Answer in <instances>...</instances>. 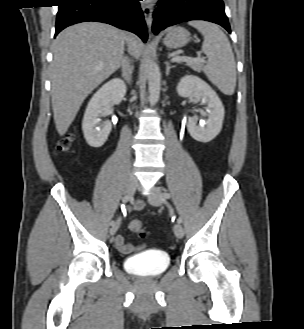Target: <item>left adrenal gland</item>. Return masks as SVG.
<instances>
[{
	"label": "left adrenal gland",
	"instance_id": "1",
	"mask_svg": "<svg viewBox=\"0 0 304 329\" xmlns=\"http://www.w3.org/2000/svg\"><path fill=\"white\" fill-rule=\"evenodd\" d=\"M166 65V75H169L170 73V69L174 68V65H170V63L168 61L165 62Z\"/></svg>",
	"mask_w": 304,
	"mask_h": 329
}]
</instances>
